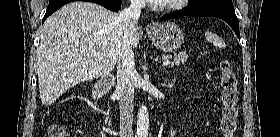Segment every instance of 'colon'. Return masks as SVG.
<instances>
[{
	"label": "colon",
	"mask_w": 280,
	"mask_h": 137,
	"mask_svg": "<svg viewBox=\"0 0 280 137\" xmlns=\"http://www.w3.org/2000/svg\"><path fill=\"white\" fill-rule=\"evenodd\" d=\"M221 81V131L224 137H234L237 129L238 116V80L235 72L227 60L219 65ZM50 137H70L69 133L59 124H52L48 128Z\"/></svg>",
	"instance_id": "obj_1"
}]
</instances>
